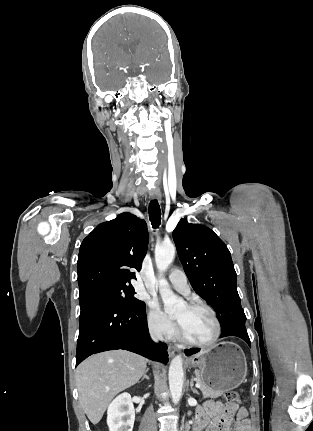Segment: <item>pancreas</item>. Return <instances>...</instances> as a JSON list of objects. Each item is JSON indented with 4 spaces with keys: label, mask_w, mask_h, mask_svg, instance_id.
<instances>
[{
    "label": "pancreas",
    "mask_w": 313,
    "mask_h": 431,
    "mask_svg": "<svg viewBox=\"0 0 313 431\" xmlns=\"http://www.w3.org/2000/svg\"><path fill=\"white\" fill-rule=\"evenodd\" d=\"M196 376H197V374H196ZM197 381L201 384L200 390H201L204 398H208V397H210V398H218V397H220L223 394V392H221V391H216V390H213V389L209 388L208 386H206L200 380V378H198V376H197Z\"/></svg>",
    "instance_id": "cf45deb5"
}]
</instances>
